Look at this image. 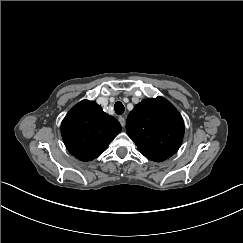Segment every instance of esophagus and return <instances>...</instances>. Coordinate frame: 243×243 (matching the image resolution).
<instances>
[{
  "mask_svg": "<svg viewBox=\"0 0 243 243\" xmlns=\"http://www.w3.org/2000/svg\"><path fill=\"white\" fill-rule=\"evenodd\" d=\"M118 120H119V123L121 124V126L124 127L125 126V118L120 116Z\"/></svg>",
  "mask_w": 243,
  "mask_h": 243,
  "instance_id": "34e87169",
  "label": "esophagus"
}]
</instances>
